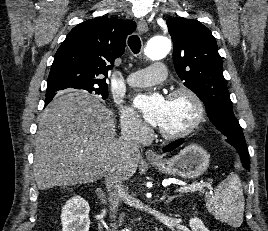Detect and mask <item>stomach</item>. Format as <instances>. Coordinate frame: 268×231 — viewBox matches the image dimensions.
<instances>
[{
	"label": "stomach",
	"mask_w": 268,
	"mask_h": 231,
	"mask_svg": "<svg viewBox=\"0 0 268 231\" xmlns=\"http://www.w3.org/2000/svg\"><path fill=\"white\" fill-rule=\"evenodd\" d=\"M209 162L208 152L197 144H191L174 157L151 161V164L164 174L194 179L204 174L209 167Z\"/></svg>",
	"instance_id": "stomach-1"
}]
</instances>
